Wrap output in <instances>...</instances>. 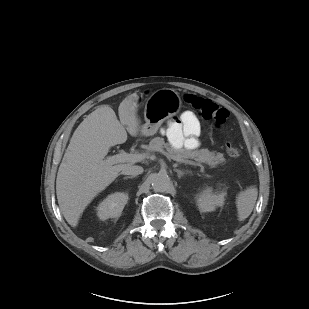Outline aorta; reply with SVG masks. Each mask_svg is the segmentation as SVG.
<instances>
[{"label":"aorta","mask_w":309,"mask_h":309,"mask_svg":"<svg viewBox=\"0 0 309 309\" xmlns=\"http://www.w3.org/2000/svg\"><path fill=\"white\" fill-rule=\"evenodd\" d=\"M152 187L156 192H165L170 186V178L166 174L157 173L152 176Z\"/></svg>","instance_id":"762f6f07"}]
</instances>
